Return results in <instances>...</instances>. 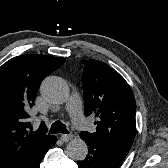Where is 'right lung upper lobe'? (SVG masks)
Here are the masks:
<instances>
[{"label": "right lung upper lobe", "mask_w": 168, "mask_h": 168, "mask_svg": "<svg viewBox=\"0 0 168 168\" xmlns=\"http://www.w3.org/2000/svg\"><path fill=\"white\" fill-rule=\"evenodd\" d=\"M64 58L27 54L10 59L0 67V168H30L52 146L42 123L35 132L27 118L40 83Z\"/></svg>", "instance_id": "cb5924a9"}]
</instances>
